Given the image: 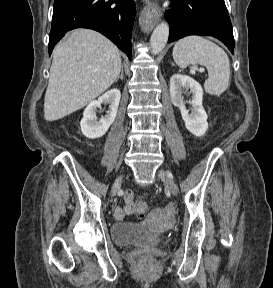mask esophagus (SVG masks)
I'll use <instances>...</instances> for the list:
<instances>
[{
	"label": "esophagus",
	"mask_w": 273,
	"mask_h": 288,
	"mask_svg": "<svg viewBox=\"0 0 273 288\" xmlns=\"http://www.w3.org/2000/svg\"><path fill=\"white\" fill-rule=\"evenodd\" d=\"M162 13L155 2H145V7L142 10L139 18L140 24L145 31L153 28L161 19Z\"/></svg>",
	"instance_id": "34e87169"
}]
</instances>
